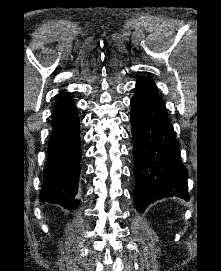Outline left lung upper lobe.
Returning <instances> with one entry per match:
<instances>
[{"label":"left lung upper lobe","instance_id":"left-lung-upper-lobe-1","mask_svg":"<svg viewBox=\"0 0 221 271\" xmlns=\"http://www.w3.org/2000/svg\"><path fill=\"white\" fill-rule=\"evenodd\" d=\"M139 81H140V82H143V83H146V84H148V85H150V86L156 88L154 82L151 81V80H149L148 78H144V79H141V80H139Z\"/></svg>","mask_w":221,"mask_h":271}]
</instances>
